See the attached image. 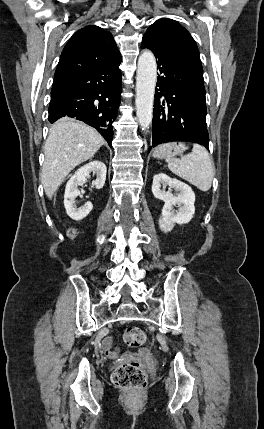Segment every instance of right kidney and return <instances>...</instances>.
<instances>
[{
  "label": "right kidney",
  "instance_id": "1",
  "mask_svg": "<svg viewBox=\"0 0 264 429\" xmlns=\"http://www.w3.org/2000/svg\"><path fill=\"white\" fill-rule=\"evenodd\" d=\"M106 171L107 168L103 162L92 161L79 168L67 182L64 194V206L67 215L71 219L80 221L84 219L93 208L91 202H86L82 207H77L75 205L76 198L80 196L78 187L86 182L87 178L90 177V173H93L97 176L94 185L97 189H101L105 184Z\"/></svg>",
  "mask_w": 264,
  "mask_h": 429
}]
</instances>
